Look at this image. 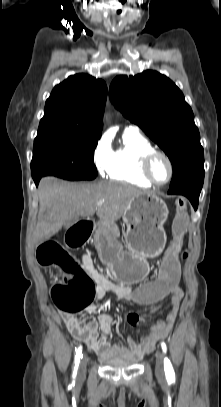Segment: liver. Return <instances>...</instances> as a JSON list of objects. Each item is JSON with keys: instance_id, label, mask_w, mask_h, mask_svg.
<instances>
[{"instance_id": "1", "label": "liver", "mask_w": 221, "mask_h": 407, "mask_svg": "<svg viewBox=\"0 0 221 407\" xmlns=\"http://www.w3.org/2000/svg\"><path fill=\"white\" fill-rule=\"evenodd\" d=\"M145 192L128 184L99 182L75 184L44 177L38 186L39 213L33 243L39 245L62 226H71L80 217L95 213L104 222L114 224L128 208L131 199ZM104 200L101 206L97 202Z\"/></svg>"}]
</instances>
